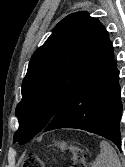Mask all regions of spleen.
Listing matches in <instances>:
<instances>
[{
	"mask_svg": "<svg viewBox=\"0 0 125 167\" xmlns=\"http://www.w3.org/2000/svg\"><path fill=\"white\" fill-rule=\"evenodd\" d=\"M92 167H122V166L114 148L107 141H101L100 153L92 163Z\"/></svg>",
	"mask_w": 125,
	"mask_h": 167,
	"instance_id": "spleen-1",
	"label": "spleen"
}]
</instances>
